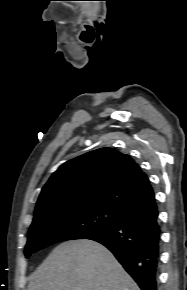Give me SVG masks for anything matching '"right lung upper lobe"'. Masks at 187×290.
Returning <instances> with one entry per match:
<instances>
[{
    "instance_id": "cb5924a9",
    "label": "right lung upper lobe",
    "mask_w": 187,
    "mask_h": 290,
    "mask_svg": "<svg viewBox=\"0 0 187 290\" xmlns=\"http://www.w3.org/2000/svg\"><path fill=\"white\" fill-rule=\"evenodd\" d=\"M101 205L124 217L157 210L150 181L130 156L100 148L71 159L42 188L34 220L59 211Z\"/></svg>"
}]
</instances>
